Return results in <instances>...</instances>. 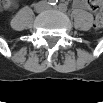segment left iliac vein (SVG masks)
I'll return each mask as SVG.
<instances>
[{
  "instance_id": "left-iliac-vein-1",
  "label": "left iliac vein",
  "mask_w": 103,
  "mask_h": 103,
  "mask_svg": "<svg viewBox=\"0 0 103 103\" xmlns=\"http://www.w3.org/2000/svg\"><path fill=\"white\" fill-rule=\"evenodd\" d=\"M50 9H57V7L56 6H54V7H49Z\"/></svg>"
}]
</instances>
